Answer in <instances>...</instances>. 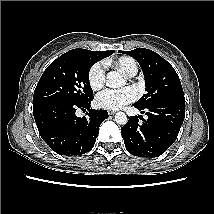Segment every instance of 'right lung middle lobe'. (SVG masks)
I'll return each mask as SVG.
<instances>
[{
    "mask_svg": "<svg viewBox=\"0 0 214 214\" xmlns=\"http://www.w3.org/2000/svg\"><path fill=\"white\" fill-rule=\"evenodd\" d=\"M100 59L90 50L73 49L54 60L42 74L33 106L52 101H85L93 98L90 68Z\"/></svg>",
    "mask_w": 214,
    "mask_h": 214,
    "instance_id": "dd1d6c3e",
    "label": "right lung middle lobe"
}]
</instances>
